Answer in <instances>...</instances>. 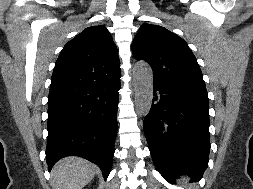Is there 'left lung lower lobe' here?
Masks as SVG:
<instances>
[{"instance_id":"left-lung-lower-lobe-1","label":"left lung lower lobe","mask_w":253,"mask_h":189,"mask_svg":"<svg viewBox=\"0 0 253 189\" xmlns=\"http://www.w3.org/2000/svg\"><path fill=\"white\" fill-rule=\"evenodd\" d=\"M153 102L143 129L158 172L169 182L180 173L197 181L208 166V99L153 83Z\"/></svg>"}]
</instances>
